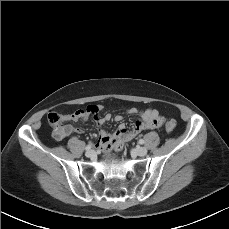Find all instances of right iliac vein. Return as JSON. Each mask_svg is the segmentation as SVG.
I'll list each match as a JSON object with an SVG mask.
<instances>
[{
	"mask_svg": "<svg viewBox=\"0 0 229 229\" xmlns=\"http://www.w3.org/2000/svg\"><path fill=\"white\" fill-rule=\"evenodd\" d=\"M85 155L87 157L91 158V157H93L95 155V151L94 150H88V151H86Z\"/></svg>",
	"mask_w": 229,
	"mask_h": 229,
	"instance_id": "63e3f726",
	"label": "right iliac vein"
}]
</instances>
